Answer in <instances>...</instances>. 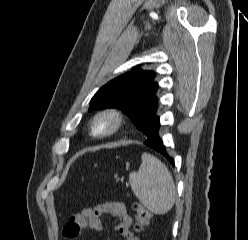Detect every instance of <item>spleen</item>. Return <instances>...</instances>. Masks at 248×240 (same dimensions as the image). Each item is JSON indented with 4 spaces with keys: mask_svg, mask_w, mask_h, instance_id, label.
<instances>
[{
    "mask_svg": "<svg viewBox=\"0 0 248 240\" xmlns=\"http://www.w3.org/2000/svg\"><path fill=\"white\" fill-rule=\"evenodd\" d=\"M137 172L129 176L132 191L152 213L163 215L175 203L176 187L173 177L164 163L148 153H143Z\"/></svg>",
    "mask_w": 248,
    "mask_h": 240,
    "instance_id": "spleen-1",
    "label": "spleen"
}]
</instances>
